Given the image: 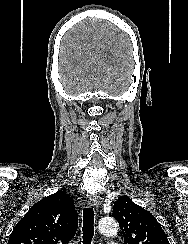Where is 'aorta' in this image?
Segmentation results:
<instances>
[{"label": "aorta", "mask_w": 188, "mask_h": 244, "mask_svg": "<svg viewBox=\"0 0 188 244\" xmlns=\"http://www.w3.org/2000/svg\"><path fill=\"white\" fill-rule=\"evenodd\" d=\"M98 229L101 234L112 236L118 232V224L112 217H104L99 221Z\"/></svg>", "instance_id": "1"}]
</instances>
